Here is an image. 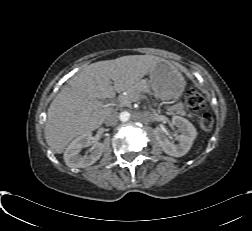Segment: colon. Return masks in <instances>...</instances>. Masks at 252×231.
<instances>
[{"label": "colon", "instance_id": "5ec220e1", "mask_svg": "<svg viewBox=\"0 0 252 231\" xmlns=\"http://www.w3.org/2000/svg\"><path fill=\"white\" fill-rule=\"evenodd\" d=\"M186 102L188 107L195 111L201 110L206 106L205 98L194 89L188 90ZM199 127L203 132H210L213 129V118L211 114L205 112L200 116Z\"/></svg>", "mask_w": 252, "mask_h": 231}]
</instances>
